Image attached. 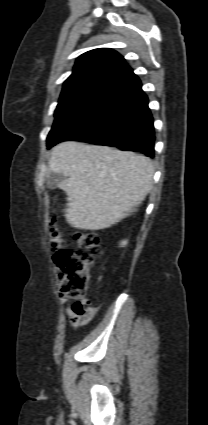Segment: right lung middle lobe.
Segmentation results:
<instances>
[{
	"mask_svg": "<svg viewBox=\"0 0 208 425\" xmlns=\"http://www.w3.org/2000/svg\"><path fill=\"white\" fill-rule=\"evenodd\" d=\"M99 94L100 91H82L61 98L55 110V121L52 128L60 124L62 118L66 114L87 104L91 100L95 99ZM54 143V138L48 135L47 147L50 148Z\"/></svg>",
	"mask_w": 208,
	"mask_h": 425,
	"instance_id": "right-lung-middle-lobe-1",
	"label": "right lung middle lobe"
}]
</instances>
